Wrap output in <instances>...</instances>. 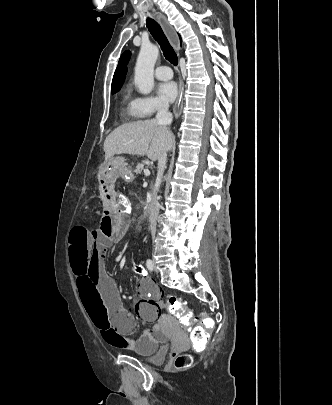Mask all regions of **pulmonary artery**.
<instances>
[{"instance_id": "1", "label": "pulmonary artery", "mask_w": 332, "mask_h": 405, "mask_svg": "<svg viewBox=\"0 0 332 405\" xmlns=\"http://www.w3.org/2000/svg\"><path fill=\"white\" fill-rule=\"evenodd\" d=\"M155 76L159 80H169L172 78V70L168 66H158L155 69Z\"/></svg>"}]
</instances>
